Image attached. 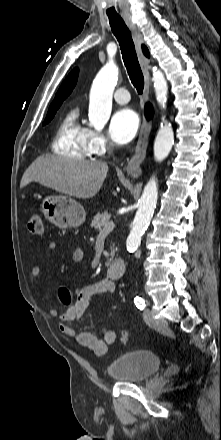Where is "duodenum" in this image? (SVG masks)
I'll use <instances>...</instances> for the list:
<instances>
[{"mask_svg":"<svg viewBox=\"0 0 221 440\" xmlns=\"http://www.w3.org/2000/svg\"><path fill=\"white\" fill-rule=\"evenodd\" d=\"M107 271L111 279L121 278L126 271V265L124 260L121 258L114 259L108 264Z\"/></svg>","mask_w":221,"mask_h":440,"instance_id":"1","label":"duodenum"}]
</instances>
